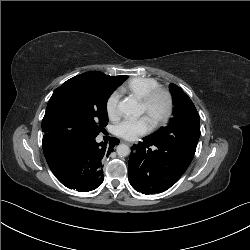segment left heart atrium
I'll use <instances>...</instances> for the list:
<instances>
[{
	"instance_id": "39dd6f15",
	"label": "left heart atrium",
	"mask_w": 250,
	"mask_h": 250,
	"mask_svg": "<svg viewBox=\"0 0 250 250\" xmlns=\"http://www.w3.org/2000/svg\"><path fill=\"white\" fill-rule=\"evenodd\" d=\"M151 127L152 122L146 116L140 118H125L115 125L114 132L121 138L135 140L139 136L148 133Z\"/></svg>"
}]
</instances>
